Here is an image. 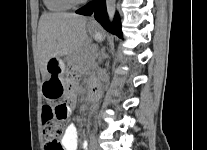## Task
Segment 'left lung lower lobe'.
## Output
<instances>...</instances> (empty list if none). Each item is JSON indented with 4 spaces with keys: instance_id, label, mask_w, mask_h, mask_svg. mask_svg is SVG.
Here are the masks:
<instances>
[{
    "instance_id": "left-lung-lower-lobe-1",
    "label": "left lung lower lobe",
    "mask_w": 207,
    "mask_h": 150,
    "mask_svg": "<svg viewBox=\"0 0 207 150\" xmlns=\"http://www.w3.org/2000/svg\"><path fill=\"white\" fill-rule=\"evenodd\" d=\"M94 12L95 19L109 32L122 37L121 25L119 22L118 15L115 16L112 25L109 23L107 11H106V0H93L84 7L76 11L77 14L91 15Z\"/></svg>"
}]
</instances>
